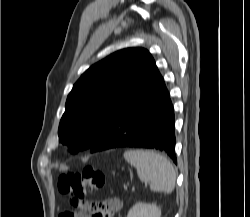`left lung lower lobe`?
Returning <instances> with one entry per match:
<instances>
[{
	"mask_svg": "<svg viewBox=\"0 0 250 217\" xmlns=\"http://www.w3.org/2000/svg\"><path fill=\"white\" fill-rule=\"evenodd\" d=\"M175 142L173 106L155 65L91 152L118 147L151 148L164 151L177 163Z\"/></svg>",
	"mask_w": 250,
	"mask_h": 217,
	"instance_id": "obj_1",
	"label": "left lung lower lobe"
}]
</instances>
